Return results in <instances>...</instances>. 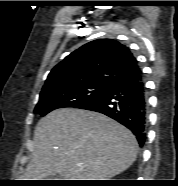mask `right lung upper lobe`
Returning a JSON list of instances; mask_svg holds the SVG:
<instances>
[{
	"mask_svg": "<svg viewBox=\"0 0 178 186\" xmlns=\"http://www.w3.org/2000/svg\"><path fill=\"white\" fill-rule=\"evenodd\" d=\"M140 68L130 49L112 39L89 42L68 55L49 73L41 92L89 83L111 84Z\"/></svg>",
	"mask_w": 178,
	"mask_h": 186,
	"instance_id": "obj_1",
	"label": "right lung upper lobe"
}]
</instances>
